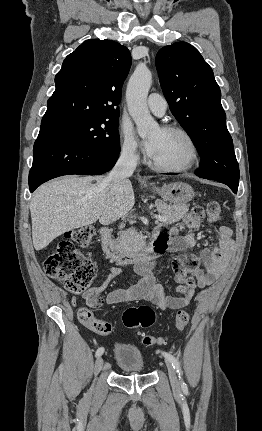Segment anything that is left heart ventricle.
Wrapping results in <instances>:
<instances>
[{"mask_svg": "<svg viewBox=\"0 0 262 431\" xmlns=\"http://www.w3.org/2000/svg\"><path fill=\"white\" fill-rule=\"evenodd\" d=\"M157 138V145L151 159L163 165H179L185 162L189 154L187 141L179 134L154 129L150 138Z\"/></svg>", "mask_w": 262, "mask_h": 431, "instance_id": "1", "label": "left heart ventricle"}]
</instances>
